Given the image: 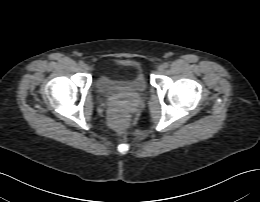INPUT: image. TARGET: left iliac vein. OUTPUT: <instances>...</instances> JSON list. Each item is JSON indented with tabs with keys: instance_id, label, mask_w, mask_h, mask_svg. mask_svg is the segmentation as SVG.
<instances>
[{
	"instance_id": "obj_1",
	"label": "left iliac vein",
	"mask_w": 260,
	"mask_h": 202,
	"mask_svg": "<svg viewBox=\"0 0 260 202\" xmlns=\"http://www.w3.org/2000/svg\"><path fill=\"white\" fill-rule=\"evenodd\" d=\"M165 67L163 65L158 66L159 73H162L164 71Z\"/></svg>"
}]
</instances>
